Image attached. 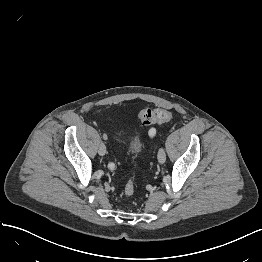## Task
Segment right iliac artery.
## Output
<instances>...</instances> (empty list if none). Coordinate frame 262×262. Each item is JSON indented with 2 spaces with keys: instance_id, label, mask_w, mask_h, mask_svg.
I'll list each match as a JSON object with an SVG mask.
<instances>
[{
  "instance_id": "obj_1",
  "label": "right iliac artery",
  "mask_w": 262,
  "mask_h": 262,
  "mask_svg": "<svg viewBox=\"0 0 262 262\" xmlns=\"http://www.w3.org/2000/svg\"><path fill=\"white\" fill-rule=\"evenodd\" d=\"M108 167L114 169L115 165H114L113 163H109V164H108Z\"/></svg>"
}]
</instances>
